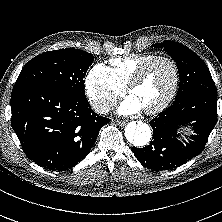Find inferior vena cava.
I'll list each match as a JSON object with an SVG mask.
<instances>
[{"mask_svg":"<svg viewBox=\"0 0 222 222\" xmlns=\"http://www.w3.org/2000/svg\"><path fill=\"white\" fill-rule=\"evenodd\" d=\"M113 105L111 104H100L95 106V111L100 113V114H106L110 111Z\"/></svg>","mask_w":222,"mask_h":222,"instance_id":"obj_1","label":"inferior vena cava"}]
</instances>
